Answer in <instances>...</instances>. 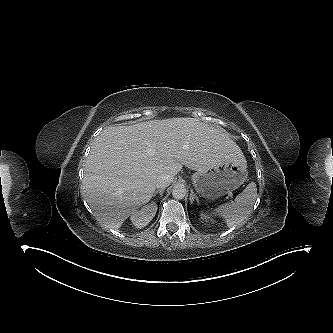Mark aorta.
Wrapping results in <instances>:
<instances>
[{
  "instance_id": "obj_1",
  "label": "aorta",
  "mask_w": 333,
  "mask_h": 333,
  "mask_svg": "<svg viewBox=\"0 0 333 333\" xmlns=\"http://www.w3.org/2000/svg\"><path fill=\"white\" fill-rule=\"evenodd\" d=\"M186 188L182 184H176L172 189V196L175 199H183L186 195Z\"/></svg>"
}]
</instances>
